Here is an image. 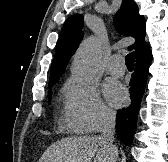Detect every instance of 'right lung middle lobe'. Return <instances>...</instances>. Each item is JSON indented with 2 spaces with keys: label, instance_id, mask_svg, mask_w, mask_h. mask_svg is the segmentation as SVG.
I'll use <instances>...</instances> for the list:
<instances>
[{
  "label": "right lung middle lobe",
  "instance_id": "1",
  "mask_svg": "<svg viewBox=\"0 0 168 162\" xmlns=\"http://www.w3.org/2000/svg\"><path fill=\"white\" fill-rule=\"evenodd\" d=\"M54 84H55V82L49 83V88H51ZM51 95H52V90L50 89V90L48 91V100H49V101L51 100Z\"/></svg>",
  "mask_w": 168,
  "mask_h": 162
}]
</instances>
